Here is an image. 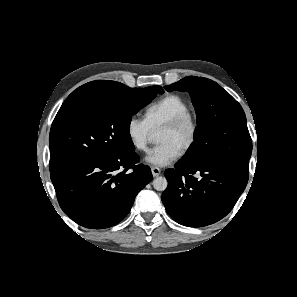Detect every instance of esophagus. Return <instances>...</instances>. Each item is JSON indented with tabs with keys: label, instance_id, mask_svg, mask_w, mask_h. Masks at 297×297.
Instances as JSON below:
<instances>
[{
	"label": "esophagus",
	"instance_id": "obj_1",
	"mask_svg": "<svg viewBox=\"0 0 297 297\" xmlns=\"http://www.w3.org/2000/svg\"><path fill=\"white\" fill-rule=\"evenodd\" d=\"M151 172H152L153 177H157V176L160 175L161 170L159 168H157V167H152Z\"/></svg>",
	"mask_w": 297,
	"mask_h": 297
}]
</instances>
